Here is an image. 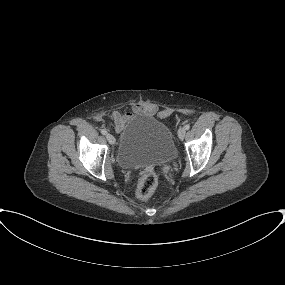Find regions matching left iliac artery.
<instances>
[{
    "instance_id": "44dca946",
    "label": "left iliac artery",
    "mask_w": 285,
    "mask_h": 285,
    "mask_svg": "<svg viewBox=\"0 0 285 285\" xmlns=\"http://www.w3.org/2000/svg\"><path fill=\"white\" fill-rule=\"evenodd\" d=\"M184 128H185V130H189V129H190V125H189V124H186V125L184 126Z\"/></svg>"
}]
</instances>
